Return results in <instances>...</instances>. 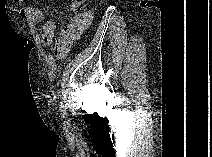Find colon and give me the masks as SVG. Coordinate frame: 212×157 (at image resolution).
I'll return each instance as SVG.
<instances>
[{
  "mask_svg": "<svg viewBox=\"0 0 212 157\" xmlns=\"http://www.w3.org/2000/svg\"><path fill=\"white\" fill-rule=\"evenodd\" d=\"M67 8L76 14H81L84 12L85 3L83 0H67Z\"/></svg>",
  "mask_w": 212,
  "mask_h": 157,
  "instance_id": "obj_1",
  "label": "colon"
}]
</instances>
